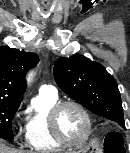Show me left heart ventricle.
Returning <instances> with one entry per match:
<instances>
[{"instance_id":"left-heart-ventricle-1","label":"left heart ventricle","mask_w":130,"mask_h":153,"mask_svg":"<svg viewBox=\"0 0 130 153\" xmlns=\"http://www.w3.org/2000/svg\"><path fill=\"white\" fill-rule=\"evenodd\" d=\"M58 124L63 136L71 141L81 139L86 130V123L82 113L73 106H65L61 110Z\"/></svg>"}]
</instances>
